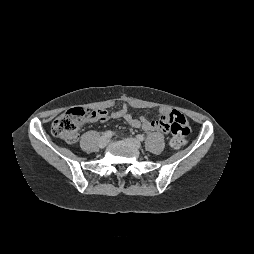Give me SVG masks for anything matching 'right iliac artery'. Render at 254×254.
<instances>
[{
	"instance_id": "1",
	"label": "right iliac artery",
	"mask_w": 254,
	"mask_h": 254,
	"mask_svg": "<svg viewBox=\"0 0 254 254\" xmlns=\"http://www.w3.org/2000/svg\"><path fill=\"white\" fill-rule=\"evenodd\" d=\"M112 136H113V132L112 131L108 130V131L105 132V137L110 138Z\"/></svg>"
}]
</instances>
